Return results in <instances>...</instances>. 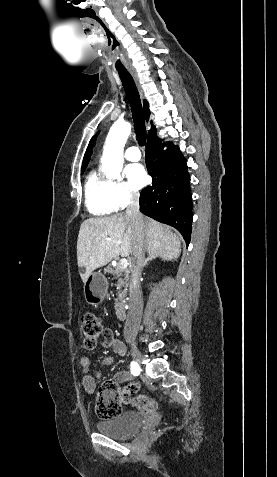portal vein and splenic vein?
Listing matches in <instances>:
<instances>
[{
    "instance_id": "1",
    "label": "portal vein and splenic vein",
    "mask_w": 277,
    "mask_h": 477,
    "mask_svg": "<svg viewBox=\"0 0 277 477\" xmlns=\"http://www.w3.org/2000/svg\"><path fill=\"white\" fill-rule=\"evenodd\" d=\"M119 265L121 268L126 269L128 266V260L126 258L120 259Z\"/></svg>"
}]
</instances>
